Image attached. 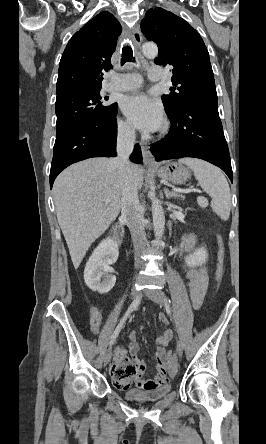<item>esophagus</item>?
<instances>
[{"instance_id": "esophagus-1", "label": "esophagus", "mask_w": 266, "mask_h": 444, "mask_svg": "<svg viewBox=\"0 0 266 444\" xmlns=\"http://www.w3.org/2000/svg\"><path fill=\"white\" fill-rule=\"evenodd\" d=\"M132 40L136 46L142 43V34L139 27H136L132 33ZM143 162L147 167H156V162L147 145H142Z\"/></svg>"}]
</instances>
